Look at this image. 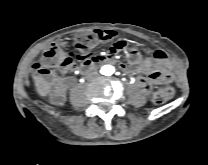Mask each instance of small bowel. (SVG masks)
I'll list each match as a JSON object with an SVG mask.
<instances>
[{"label":"small bowel","instance_id":"obj_1","mask_svg":"<svg viewBox=\"0 0 208 165\" xmlns=\"http://www.w3.org/2000/svg\"><path fill=\"white\" fill-rule=\"evenodd\" d=\"M104 32L111 36L110 39L104 41L111 40L116 36L112 30ZM121 51H128V60L119 65L120 69L137 76L140 85L146 92H150L152 85L166 84L173 80V64L164 51L158 50L152 56L144 55L138 51L135 43L123 39L114 42L105 54L82 58L80 64L83 67H92L103 62H113L115 55ZM73 65L61 69L62 74H67ZM71 81L69 80V82ZM63 101L64 96L54 99L56 104H61Z\"/></svg>","mask_w":208,"mask_h":165}]
</instances>
